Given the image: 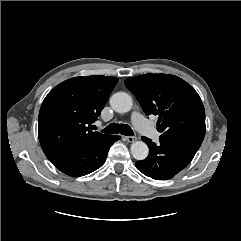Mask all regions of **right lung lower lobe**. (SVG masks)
I'll list each match as a JSON object with an SVG mask.
<instances>
[{
	"instance_id": "98d812e1",
	"label": "right lung lower lobe",
	"mask_w": 241,
	"mask_h": 241,
	"mask_svg": "<svg viewBox=\"0 0 241 241\" xmlns=\"http://www.w3.org/2000/svg\"><path fill=\"white\" fill-rule=\"evenodd\" d=\"M119 138L107 135L90 145L60 152L48 159L64 174L80 177L100 168L106 160L109 148Z\"/></svg>"
}]
</instances>
